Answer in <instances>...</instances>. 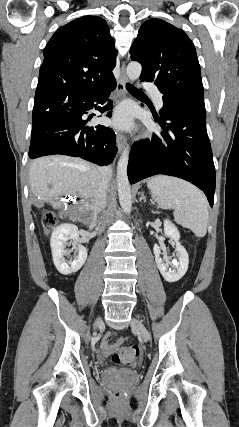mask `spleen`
<instances>
[{
    "instance_id": "3e777b00",
    "label": "spleen",
    "mask_w": 239,
    "mask_h": 427,
    "mask_svg": "<svg viewBox=\"0 0 239 427\" xmlns=\"http://www.w3.org/2000/svg\"><path fill=\"white\" fill-rule=\"evenodd\" d=\"M147 185L159 208L174 209V218L178 224L189 228L198 237L206 235L208 203L198 188L179 178L165 175L152 177Z\"/></svg>"
}]
</instances>
